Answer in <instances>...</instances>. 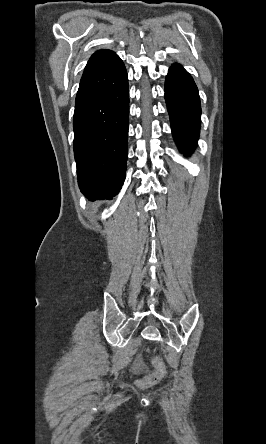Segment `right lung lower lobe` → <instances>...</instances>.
I'll list each match as a JSON object with an SVG mask.
<instances>
[{
  "label": "right lung lower lobe",
  "instance_id": "98d812e1",
  "mask_svg": "<svg viewBox=\"0 0 266 444\" xmlns=\"http://www.w3.org/2000/svg\"><path fill=\"white\" fill-rule=\"evenodd\" d=\"M126 68L117 56L80 83L73 117L78 184L90 200L111 198L126 172L129 127Z\"/></svg>",
  "mask_w": 266,
  "mask_h": 444
}]
</instances>
